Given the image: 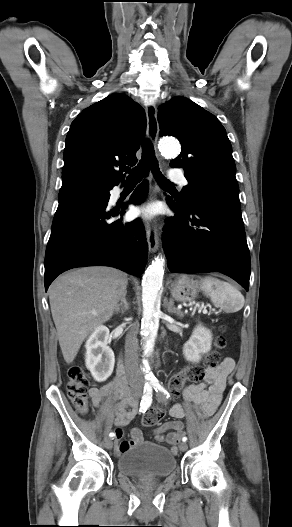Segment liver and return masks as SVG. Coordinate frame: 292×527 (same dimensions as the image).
Returning a JSON list of instances; mask_svg holds the SVG:
<instances>
[{
	"mask_svg": "<svg viewBox=\"0 0 292 527\" xmlns=\"http://www.w3.org/2000/svg\"><path fill=\"white\" fill-rule=\"evenodd\" d=\"M127 284V274L118 269L85 267L50 285L51 313L66 363H72L85 338L112 317Z\"/></svg>",
	"mask_w": 292,
	"mask_h": 527,
	"instance_id": "liver-1",
	"label": "liver"
}]
</instances>
